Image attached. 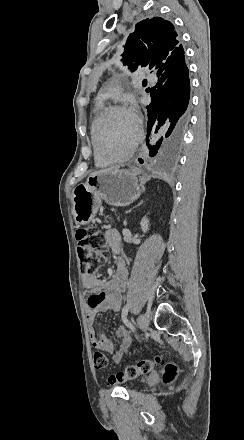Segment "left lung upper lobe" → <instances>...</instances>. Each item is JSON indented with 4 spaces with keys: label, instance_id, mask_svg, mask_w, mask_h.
Listing matches in <instances>:
<instances>
[{
    "label": "left lung upper lobe",
    "instance_id": "1",
    "mask_svg": "<svg viewBox=\"0 0 244 440\" xmlns=\"http://www.w3.org/2000/svg\"><path fill=\"white\" fill-rule=\"evenodd\" d=\"M183 58L184 49L173 24L154 17L136 24L127 38L122 61L132 72L139 67L157 71Z\"/></svg>",
    "mask_w": 244,
    "mask_h": 440
}]
</instances>
